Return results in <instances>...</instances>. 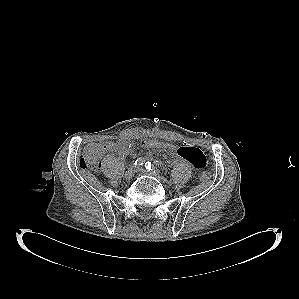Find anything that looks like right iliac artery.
<instances>
[{"mask_svg": "<svg viewBox=\"0 0 299 299\" xmlns=\"http://www.w3.org/2000/svg\"><path fill=\"white\" fill-rule=\"evenodd\" d=\"M145 160L143 158H138L134 162V167L142 166L144 164Z\"/></svg>", "mask_w": 299, "mask_h": 299, "instance_id": "obj_1", "label": "right iliac artery"}]
</instances>
